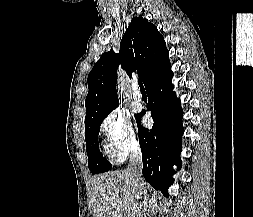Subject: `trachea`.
<instances>
[{"mask_svg":"<svg viewBox=\"0 0 253 217\" xmlns=\"http://www.w3.org/2000/svg\"><path fill=\"white\" fill-rule=\"evenodd\" d=\"M138 85L140 87V90H145L144 86H143V83L140 79H138Z\"/></svg>","mask_w":253,"mask_h":217,"instance_id":"trachea-1","label":"trachea"}]
</instances>
